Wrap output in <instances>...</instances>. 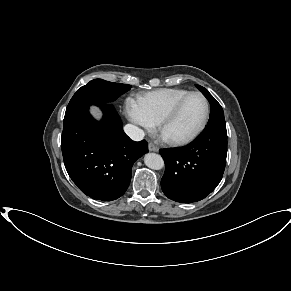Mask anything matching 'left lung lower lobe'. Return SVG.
Wrapping results in <instances>:
<instances>
[{
	"label": "left lung lower lobe",
	"mask_w": 291,
	"mask_h": 291,
	"mask_svg": "<svg viewBox=\"0 0 291 291\" xmlns=\"http://www.w3.org/2000/svg\"><path fill=\"white\" fill-rule=\"evenodd\" d=\"M164 194L176 202H197L209 195L222 179L227 156L225 126L206 127L189 145L162 149Z\"/></svg>",
	"instance_id": "0a47b994"
}]
</instances>
